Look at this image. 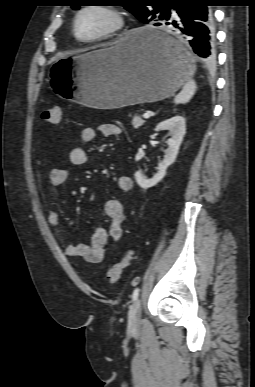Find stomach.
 Listing matches in <instances>:
<instances>
[{"instance_id": "0dacf381", "label": "stomach", "mask_w": 255, "mask_h": 387, "mask_svg": "<svg viewBox=\"0 0 255 387\" xmlns=\"http://www.w3.org/2000/svg\"><path fill=\"white\" fill-rule=\"evenodd\" d=\"M143 27L108 47L57 60L50 68V83L60 99L97 109H114L156 102L173 95L193 75L195 65L186 48L169 37L184 56L167 58L142 40Z\"/></svg>"}]
</instances>
